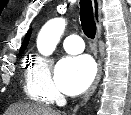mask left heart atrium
<instances>
[{
	"instance_id": "left-heart-atrium-1",
	"label": "left heart atrium",
	"mask_w": 131,
	"mask_h": 115,
	"mask_svg": "<svg viewBox=\"0 0 131 115\" xmlns=\"http://www.w3.org/2000/svg\"><path fill=\"white\" fill-rule=\"evenodd\" d=\"M94 74V63L89 57L67 56L61 59L56 67L55 82L63 93L73 96L90 85Z\"/></svg>"
}]
</instances>
